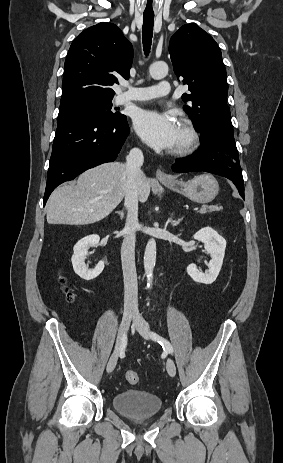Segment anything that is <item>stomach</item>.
Listing matches in <instances>:
<instances>
[{"label": "stomach", "instance_id": "stomach-1", "mask_svg": "<svg viewBox=\"0 0 283 463\" xmlns=\"http://www.w3.org/2000/svg\"><path fill=\"white\" fill-rule=\"evenodd\" d=\"M167 188L197 203L211 202L219 192L218 181L210 174H201L191 180L162 182Z\"/></svg>", "mask_w": 283, "mask_h": 463}]
</instances>
